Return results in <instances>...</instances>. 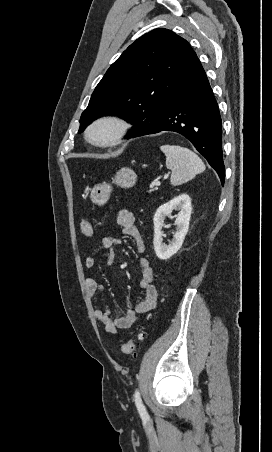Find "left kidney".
Segmentation results:
<instances>
[{
    "instance_id": "5707ae66",
    "label": "left kidney",
    "mask_w": 272,
    "mask_h": 452,
    "mask_svg": "<svg viewBox=\"0 0 272 452\" xmlns=\"http://www.w3.org/2000/svg\"><path fill=\"white\" fill-rule=\"evenodd\" d=\"M173 210H178L179 213L175 220L176 233L172 241L166 245L162 242V227L165 218L171 214ZM192 206L191 199L187 194H181L172 200L161 205L154 214V250L157 257L161 260H166L172 257L181 248L185 236L189 229V221L191 217Z\"/></svg>"
}]
</instances>
